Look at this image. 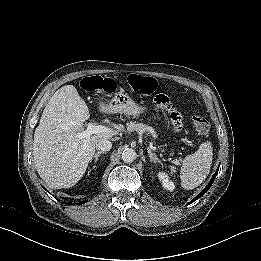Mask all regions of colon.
Instances as JSON below:
<instances>
[{
  "mask_svg": "<svg viewBox=\"0 0 261 261\" xmlns=\"http://www.w3.org/2000/svg\"><path fill=\"white\" fill-rule=\"evenodd\" d=\"M129 83L134 90L144 95L153 94L158 90V82L154 78L141 74H132L129 77ZM81 87L88 92L103 90L110 93L115 89V83L112 80H104L100 77L93 76L83 79L81 82ZM154 105L168 113L169 119L176 130L181 129V115L174 108L165 94H156L154 97ZM193 122L197 130L201 133H206L209 130V125L202 116H194Z\"/></svg>",
  "mask_w": 261,
  "mask_h": 261,
  "instance_id": "obj_1",
  "label": "colon"
}]
</instances>
